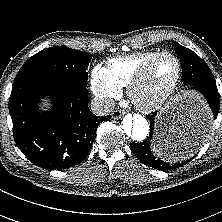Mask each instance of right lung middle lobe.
<instances>
[{
  "label": "right lung middle lobe",
  "mask_w": 222,
  "mask_h": 222,
  "mask_svg": "<svg viewBox=\"0 0 222 222\" xmlns=\"http://www.w3.org/2000/svg\"><path fill=\"white\" fill-rule=\"evenodd\" d=\"M91 54L64 46L46 48L30 57L16 77L46 75L78 87L87 86Z\"/></svg>",
  "instance_id": "1"
}]
</instances>
